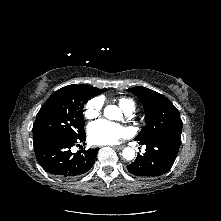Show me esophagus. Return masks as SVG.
Listing matches in <instances>:
<instances>
[{"instance_id": "1", "label": "esophagus", "mask_w": 221, "mask_h": 221, "mask_svg": "<svg viewBox=\"0 0 221 221\" xmlns=\"http://www.w3.org/2000/svg\"><path fill=\"white\" fill-rule=\"evenodd\" d=\"M124 147H125L124 145H118V146H114L113 148L116 149V150H121Z\"/></svg>"}]
</instances>
